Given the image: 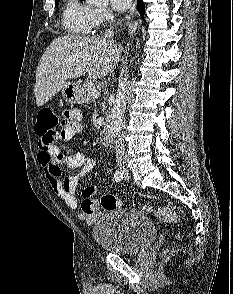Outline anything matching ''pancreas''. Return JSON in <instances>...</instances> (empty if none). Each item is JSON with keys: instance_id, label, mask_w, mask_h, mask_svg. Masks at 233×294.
<instances>
[{"instance_id": "cf45deb5", "label": "pancreas", "mask_w": 233, "mask_h": 294, "mask_svg": "<svg viewBox=\"0 0 233 294\" xmlns=\"http://www.w3.org/2000/svg\"><path fill=\"white\" fill-rule=\"evenodd\" d=\"M94 88L93 84L89 81H86L81 88V99L83 102H88L92 99V96L90 95V90Z\"/></svg>"}]
</instances>
